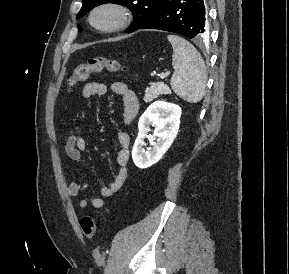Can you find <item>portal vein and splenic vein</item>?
Returning <instances> with one entry per match:
<instances>
[{
  "mask_svg": "<svg viewBox=\"0 0 289 274\" xmlns=\"http://www.w3.org/2000/svg\"><path fill=\"white\" fill-rule=\"evenodd\" d=\"M159 76L161 79H165L168 76V74L167 73H161Z\"/></svg>",
  "mask_w": 289,
  "mask_h": 274,
  "instance_id": "1",
  "label": "portal vein and splenic vein"
}]
</instances>
